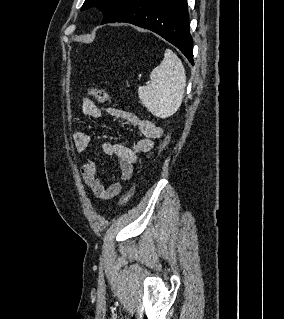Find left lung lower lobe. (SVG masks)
I'll use <instances>...</instances> for the list:
<instances>
[{"mask_svg": "<svg viewBox=\"0 0 284 319\" xmlns=\"http://www.w3.org/2000/svg\"><path fill=\"white\" fill-rule=\"evenodd\" d=\"M112 22L131 23L157 33L194 65L186 0H126L106 23Z\"/></svg>", "mask_w": 284, "mask_h": 319, "instance_id": "1", "label": "left lung lower lobe"}]
</instances>
